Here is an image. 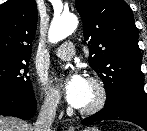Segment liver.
<instances>
[{"instance_id":"1","label":"liver","mask_w":147,"mask_h":131,"mask_svg":"<svg viewBox=\"0 0 147 131\" xmlns=\"http://www.w3.org/2000/svg\"><path fill=\"white\" fill-rule=\"evenodd\" d=\"M0 131H34V127L15 117L0 116Z\"/></svg>"}]
</instances>
